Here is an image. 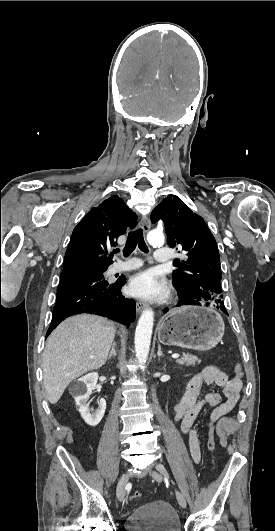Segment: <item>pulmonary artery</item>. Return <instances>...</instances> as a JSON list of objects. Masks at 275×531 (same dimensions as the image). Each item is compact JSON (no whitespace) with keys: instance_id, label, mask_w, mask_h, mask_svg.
Masks as SVG:
<instances>
[{"instance_id":"e3ab8cb5","label":"pulmonary artery","mask_w":275,"mask_h":531,"mask_svg":"<svg viewBox=\"0 0 275 531\" xmlns=\"http://www.w3.org/2000/svg\"><path fill=\"white\" fill-rule=\"evenodd\" d=\"M118 256H122V252H119ZM153 256H154V263L156 265H165L168 261L170 253L166 249H162V250L157 249L154 251ZM139 266H140V262L137 260L117 261V262H114L110 266L109 273L111 275H114L118 272L135 269Z\"/></svg>"}]
</instances>
